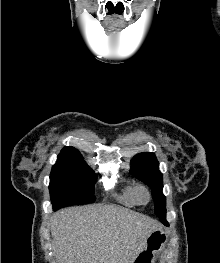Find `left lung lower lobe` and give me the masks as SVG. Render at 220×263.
I'll list each match as a JSON object with an SVG mask.
<instances>
[{"label":"left lung lower lobe","instance_id":"0a47b994","mask_svg":"<svg viewBox=\"0 0 220 263\" xmlns=\"http://www.w3.org/2000/svg\"><path fill=\"white\" fill-rule=\"evenodd\" d=\"M160 220H161V222L164 224V225H166V226H168L169 224L167 223V221H166V218L164 217V218H160Z\"/></svg>","mask_w":220,"mask_h":263}]
</instances>
